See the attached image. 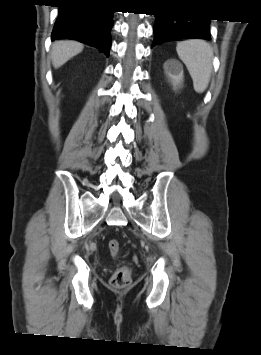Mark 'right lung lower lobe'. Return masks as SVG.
<instances>
[{"mask_svg":"<svg viewBox=\"0 0 261 355\" xmlns=\"http://www.w3.org/2000/svg\"><path fill=\"white\" fill-rule=\"evenodd\" d=\"M102 1H59V16L52 32V40L74 39L96 47L109 56L114 11L107 9Z\"/></svg>","mask_w":261,"mask_h":355,"instance_id":"right-lung-lower-lobe-1","label":"right lung lower lobe"}]
</instances>
